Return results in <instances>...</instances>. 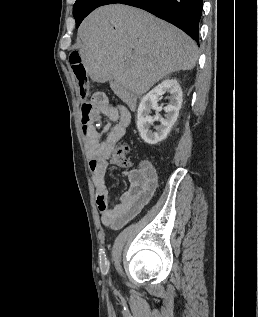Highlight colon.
<instances>
[{"label": "colon", "instance_id": "obj_1", "mask_svg": "<svg viewBox=\"0 0 258 317\" xmlns=\"http://www.w3.org/2000/svg\"><path fill=\"white\" fill-rule=\"evenodd\" d=\"M69 61L78 82L79 95L85 101L84 103L87 104L88 101L86 100L90 96L91 83L79 52L73 51L70 54ZM95 121L96 120L88 114L82 120V128L86 141H92L98 136V132L94 127ZM129 152L130 146L127 143L118 144L114 150L113 162L120 166H129Z\"/></svg>", "mask_w": 258, "mask_h": 317}]
</instances>
